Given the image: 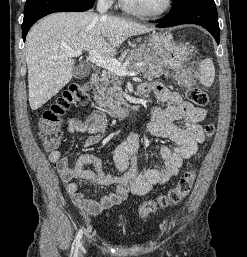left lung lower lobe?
Returning <instances> with one entry per match:
<instances>
[{"label": "left lung lower lobe", "instance_id": "left-lung-lower-lobe-1", "mask_svg": "<svg viewBox=\"0 0 247 257\" xmlns=\"http://www.w3.org/2000/svg\"><path fill=\"white\" fill-rule=\"evenodd\" d=\"M187 23L206 28L219 44L220 29L214 0H182L173 4L170 12L156 26L162 28Z\"/></svg>", "mask_w": 247, "mask_h": 257}]
</instances>
